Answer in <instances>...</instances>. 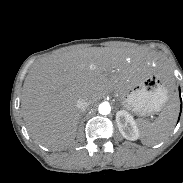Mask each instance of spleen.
Returning a JSON list of instances; mask_svg holds the SVG:
<instances>
[{
    "mask_svg": "<svg viewBox=\"0 0 183 183\" xmlns=\"http://www.w3.org/2000/svg\"><path fill=\"white\" fill-rule=\"evenodd\" d=\"M140 96L143 93L139 94ZM178 116V101L172 98L152 123L139 121L141 141L144 145L153 146L162 142L173 130Z\"/></svg>",
    "mask_w": 183,
    "mask_h": 183,
    "instance_id": "spleen-1",
    "label": "spleen"
}]
</instances>
